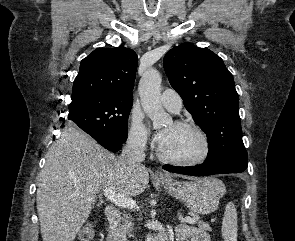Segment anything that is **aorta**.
<instances>
[{"instance_id": "obj_1", "label": "aorta", "mask_w": 295, "mask_h": 241, "mask_svg": "<svg viewBox=\"0 0 295 241\" xmlns=\"http://www.w3.org/2000/svg\"><path fill=\"white\" fill-rule=\"evenodd\" d=\"M161 82L159 71L150 68L143 74L138 87L143 110L151 119L154 129H160L172 122L171 116L164 111L160 101ZM145 241H155V239L148 234Z\"/></svg>"}]
</instances>
